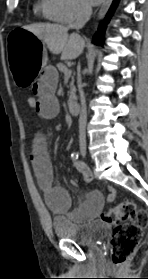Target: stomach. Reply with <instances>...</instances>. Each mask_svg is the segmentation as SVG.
Segmentation results:
<instances>
[{
  "mask_svg": "<svg viewBox=\"0 0 148 279\" xmlns=\"http://www.w3.org/2000/svg\"><path fill=\"white\" fill-rule=\"evenodd\" d=\"M4 43L5 55L10 59V75H14L13 87L18 91H27V87H35L32 82L40 69L47 63V51L44 42L34 35L30 30H9Z\"/></svg>",
  "mask_w": 148,
  "mask_h": 279,
  "instance_id": "stomach-1",
  "label": "stomach"
}]
</instances>
